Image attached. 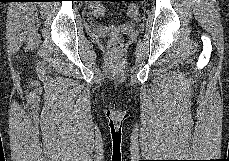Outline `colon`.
<instances>
[{
	"label": "colon",
	"instance_id": "colon-1",
	"mask_svg": "<svg viewBox=\"0 0 229 161\" xmlns=\"http://www.w3.org/2000/svg\"><path fill=\"white\" fill-rule=\"evenodd\" d=\"M105 7L104 5L101 3V1H92L90 4V13L92 16L94 17H100L103 16L105 14ZM139 13L138 7L136 5H129L126 8V15L129 18H135L137 17ZM109 48L111 50H117L120 46V40L118 38H111L109 40Z\"/></svg>",
	"mask_w": 229,
	"mask_h": 161
}]
</instances>
